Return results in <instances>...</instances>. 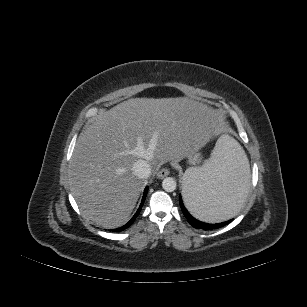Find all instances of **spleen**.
Instances as JSON below:
<instances>
[{"label":"spleen","instance_id":"obj_1","mask_svg":"<svg viewBox=\"0 0 307 307\" xmlns=\"http://www.w3.org/2000/svg\"><path fill=\"white\" fill-rule=\"evenodd\" d=\"M210 163L189 168L183 178L187 209L205 222H220L242 211L249 201V162L240 145L222 136L209 149Z\"/></svg>","mask_w":307,"mask_h":307}]
</instances>
